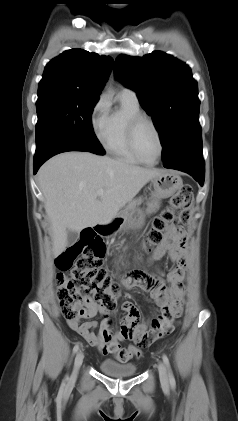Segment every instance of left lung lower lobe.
<instances>
[{
  "label": "left lung lower lobe",
  "mask_w": 238,
  "mask_h": 421,
  "mask_svg": "<svg viewBox=\"0 0 238 421\" xmlns=\"http://www.w3.org/2000/svg\"><path fill=\"white\" fill-rule=\"evenodd\" d=\"M164 167L184 171L193 176L203 186L205 166L202 150V135L196 136L185 143L164 162Z\"/></svg>",
  "instance_id": "left-lung-lower-lobe-1"
}]
</instances>
